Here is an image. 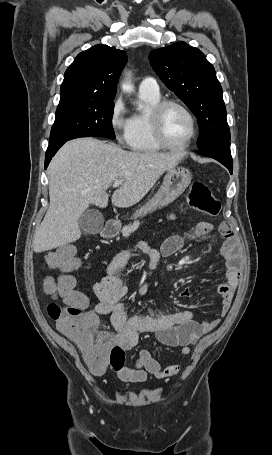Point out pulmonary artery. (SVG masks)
I'll return each instance as SVG.
<instances>
[{"mask_svg": "<svg viewBox=\"0 0 272 455\" xmlns=\"http://www.w3.org/2000/svg\"><path fill=\"white\" fill-rule=\"evenodd\" d=\"M140 93L159 94V86L154 78L146 77L139 84Z\"/></svg>", "mask_w": 272, "mask_h": 455, "instance_id": "pulmonary-artery-1", "label": "pulmonary artery"}]
</instances>
